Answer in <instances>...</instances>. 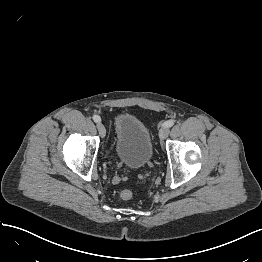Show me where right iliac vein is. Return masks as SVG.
Segmentation results:
<instances>
[{"mask_svg":"<svg viewBox=\"0 0 262 262\" xmlns=\"http://www.w3.org/2000/svg\"><path fill=\"white\" fill-rule=\"evenodd\" d=\"M97 128H98V131H99L100 136H101L102 138H104L105 135H106V128H105V126H104L102 123H98V124H97Z\"/></svg>","mask_w":262,"mask_h":262,"instance_id":"1","label":"right iliac vein"}]
</instances>
